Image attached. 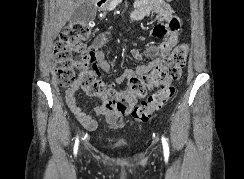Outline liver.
Returning a JSON list of instances; mask_svg holds the SVG:
<instances>
[{
	"label": "liver",
	"mask_w": 244,
	"mask_h": 179,
	"mask_svg": "<svg viewBox=\"0 0 244 179\" xmlns=\"http://www.w3.org/2000/svg\"><path fill=\"white\" fill-rule=\"evenodd\" d=\"M85 0H57V16L56 20L53 24L52 36L56 38L58 32H60L61 28L65 26L66 22L70 20L71 16H73L76 8L83 4ZM90 2H98V0H90Z\"/></svg>",
	"instance_id": "obj_1"
}]
</instances>
